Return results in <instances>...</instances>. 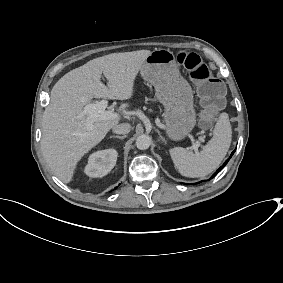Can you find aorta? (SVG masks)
<instances>
[{
  "mask_svg": "<svg viewBox=\"0 0 283 283\" xmlns=\"http://www.w3.org/2000/svg\"><path fill=\"white\" fill-rule=\"evenodd\" d=\"M150 145H151V138L148 135L143 134L137 137L136 146L138 149L146 150L150 147Z\"/></svg>",
  "mask_w": 283,
  "mask_h": 283,
  "instance_id": "aorta-1",
  "label": "aorta"
}]
</instances>
